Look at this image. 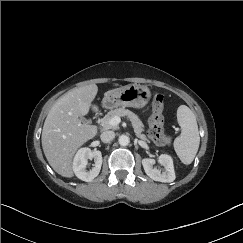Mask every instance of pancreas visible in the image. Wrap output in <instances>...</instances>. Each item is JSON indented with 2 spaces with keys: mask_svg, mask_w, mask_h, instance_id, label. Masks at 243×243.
I'll use <instances>...</instances> for the list:
<instances>
[{
  "mask_svg": "<svg viewBox=\"0 0 243 243\" xmlns=\"http://www.w3.org/2000/svg\"><path fill=\"white\" fill-rule=\"evenodd\" d=\"M114 116H126L132 123L134 132L138 138L144 141H148L146 135L144 132V125L142 121L139 119V117L134 114L132 111L125 109V108H117L114 110L109 111L101 120V125L104 129H116V126L110 125L109 120L113 118Z\"/></svg>",
  "mask_w": 243,
  "mask_h": 243,
  "instance_id": "1",
  "label": "pancreas"
}]
</instances>
